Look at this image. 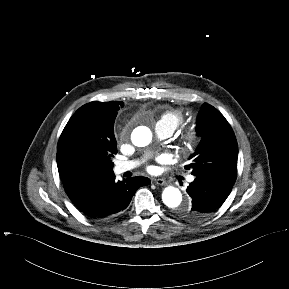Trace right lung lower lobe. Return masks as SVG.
I'll return each instance as SVG.
<instances>
[{
    "instance_id": "obj_1",
    "label": "right lung lower lobe",
    "mask_w": 289,
    "mask_h": 289,
    "mask_svg": "<svg viewBox=\"0 0 289 289\" xmlns=\"http://www.w3.org/2000/svg\"><path fill=\"white\" fill-rule=\"evenodd\" d=\"M146 177H133L115 182V177L95 183L88 191L84 202L75 205L93 219H105L125 210L140 186L148 185Z\"/></svg>"
}]
</instances>
